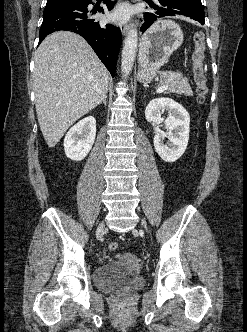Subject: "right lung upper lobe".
<instances>
[{"label":"right lung upper lobe","mask_w":247,"mask_h":332,"mask_svg":"<svg viewBox=\"0 0 247 332\" xmlns=\"http://www.w3.org/2000/svg\"><path fill=\"white\" fill-rule=\"evenodd\" d=\"M53 1H58V0H47V2H53Z\"/></svg>","instance_id":"obj_1"}]
</instances>
